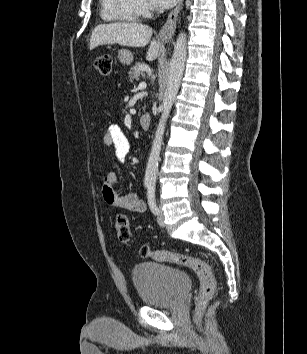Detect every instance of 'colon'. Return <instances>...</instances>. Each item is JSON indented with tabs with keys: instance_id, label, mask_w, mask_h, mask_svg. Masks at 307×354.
Masks as SVG:
<instances>
[{
	"instance_id": "5ec220e1",
	"label": "colon",
	"mask_w": 307,
	"mask_h": 354,
	"mask_svg": "<svg viewBox=\"0 0 307 354\" xmlns=\"http://www.w3.org/2000/svg\"><path fill=\"white\" fill-rule=\"evenodd\" d=\"M94 66L101 75H109L112 69L111 56L108 54L97 56L94 59ZM115 230L118 239L122 243H130L132 237L131 228L128 218L124 214H120L116 217ZM140 254L142 257L184 266L195 272L200 280V288L197 297L198 309H201L213 296L216 289V281L210 266L204 261L180 253L164 250L153 251L148 246H143L140 250Z\"/></svg>"
}]
</instances>
